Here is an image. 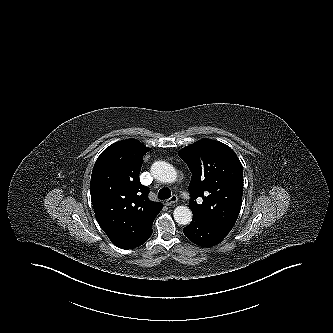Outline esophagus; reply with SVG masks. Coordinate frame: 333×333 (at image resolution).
<instances>
[{"mask_svg":"<svg viewBox=\"0 0 333 333\" xmlns=\"http://www.w3.org/2000/svg\"><path fill=\"white\" fill-rule=\"evenodd\" d=\"M178 201V197L176 196V195H173V196H171L169 199H167L166 201H165V204L167 205V206H171V205H173L174 203H176Z\"/></svg>","mask_w":333,"mask_h":333,"instance_id":"esophagus-1","label":"esophagus"}]
</instances>
